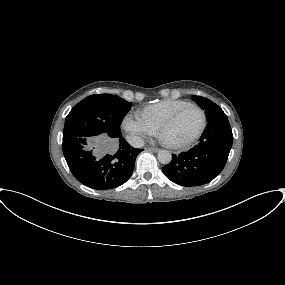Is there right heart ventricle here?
<instances>
[{
	"instance_id": "right-heart-ventricle-1",
	"label": "right heart ventricle",
	"mask_w": 285,
	"mask_h": 285,
	"mask_svg": "<svg viewBox=\"0 0 285 285\" xmlns=\"http://www.w3.org/2000/svg\"><path fill=\"white\" fill-rule=\"evenodd\" d=\"M187 104L189 102L184 100H163L143 109L139 117L156 131L163 122Z\"/></svg>"
}]
</instances>
